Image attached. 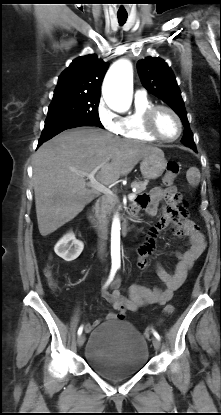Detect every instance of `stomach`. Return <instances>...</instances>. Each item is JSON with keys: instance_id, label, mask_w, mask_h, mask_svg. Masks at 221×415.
Returning <instances> with one entry per match:
<instances>
[{"instance_id": "1", "label": "stomach", "mask_w": 221, "mask_h": 415, "mask_svg": "<svg viewBox=\"0 0 221 415\" xmlns=\"http://www.w3.org/2000/svg\"><path fill=\"white\" fill-rule=\"evenodd\" d=\"M166 165L164 153L157 151L142 158L140 171L145 179L155 180L163 174Z\"/></svg>"}]
</instances>
